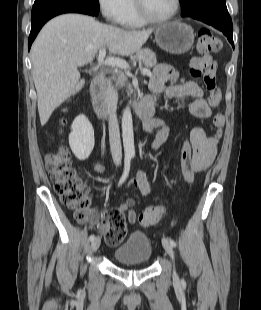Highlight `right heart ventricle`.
I'll return each mask as SVG.
<instances>
[{
	"label": "right heart ventricle",
	"instance_id": "right-heart-ventricle-1",
	"mask_svg": "<svg viewBox=\"0 0 261 310\" xmlns=\"http://www.w3.org/2000/svg\"><path fill=\"white\" fill-rule=\"evenodd\" d=\"M120 24L127 28H139L145 25V23L139 18L137 14L134 0L127 1V11Z\"/></svg>",
	"mask_w": 261,
	"mask_h": 310
}]
</instances>
